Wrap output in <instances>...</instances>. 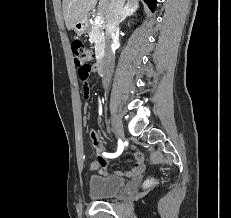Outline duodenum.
<instances>
[{"mask_svg":"<svg viewBox=\"0 0 231 218\" xmlns=\"http://www.w3.org/2000/svg\"><path fill=\"white\" fill-rule=\"evenodd\" d=\"M96 65H97L96 70H97L98 74L104 75L106 73V62L102 56L99 57Z\"/></svg>","mask_w":231,"mask_h":218,"instance_id":"1","label":"duodenum"}]
</instances>
